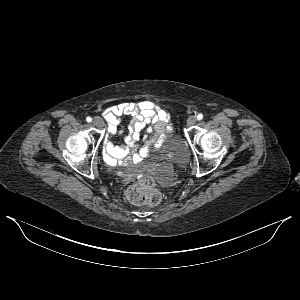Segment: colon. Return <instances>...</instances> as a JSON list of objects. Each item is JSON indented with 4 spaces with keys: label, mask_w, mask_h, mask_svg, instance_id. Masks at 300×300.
Listing matches in <instances>:
<instances>
[{
    "label": "colon",
    "mask_w": 300,
    "mask_h": 300,
    "mask_svg": "<svg viewBox=\"0 0 300 300\" xmlns=\"http://www.w3.org/2000/svg\"><path fill=\"white\" fill-rule=\"evenodd\" d=\"M127 199L136 205L157 206L161 201L160 192L153 178H144L131 185L126 192Z\"/></svg>",
    "instance_id": "5ec220e1"
}]
</instances>
